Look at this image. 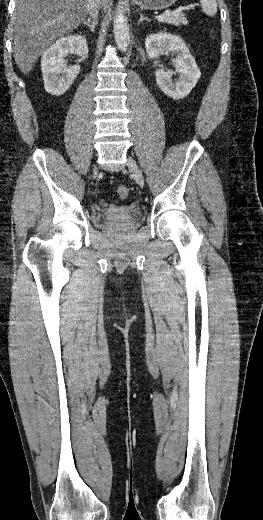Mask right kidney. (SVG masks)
<instances>
[{"label": "right kidney", "mask_w": 263, "mask_h": 520, "mask_svg": "<svg viewBox=\"0 0 263 520\" xmlns=\"http://www.w3.org/2000/svg\"><path fill=\"white\" fill-rule=\"evenodd\" d=\"M68 53L76 54L82 60L88 57L86 38L82 35H70L58 39L42 55L41 71L45 90L55 96L64 94L80 72V65L65 66L64 57Z\"/></svg>", "instance_id": "obj_1"}]
</instances>
